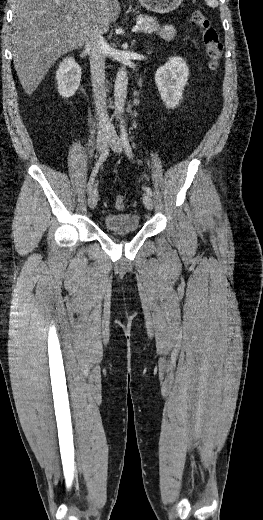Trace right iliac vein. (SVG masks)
Segmentation results:
<instances>
[{"instance_id": "1", "label": "right iliac vein", "mask_w": 263, "mask_h": 520, "mask_svg": "<svg viewBox=\"0 0 263 520\" xmlns=\"http://www.w3.org/2000/svg\"><path fill=\"white\" fill-rule=\"evenodd\" d=\"M109 139V132L101 131L97 137V149L100 153H103ZM98 201V191L96 188L90 192L88 197V205L90 208H94Z\"/></svg>"}]
</instances>
